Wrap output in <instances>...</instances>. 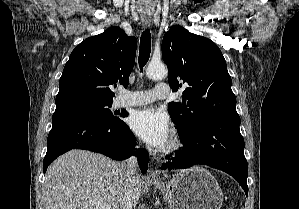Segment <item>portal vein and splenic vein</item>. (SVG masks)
<instances>
[{
	"label": "portal vein and splenic vein",
	"mask_w": 299,
	"mask_h": 209,
	"mask_svg": "<svg viewBox=\"0 0 299 209\" xmlns=\"http://www.w3.org/2000/svg\"><path fill=\"white\" fill-rule=\"evenodd\" d=\"M92 205L95 206V209H111V207L105 203L102 202H92Z\"/></svg>",
	"instance_id": "1"
}]
</instances>
